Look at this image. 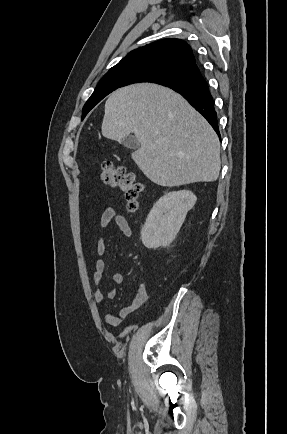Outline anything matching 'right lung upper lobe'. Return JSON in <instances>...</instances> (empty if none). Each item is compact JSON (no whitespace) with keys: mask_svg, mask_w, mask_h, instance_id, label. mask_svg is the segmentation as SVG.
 <instances>
[{"mask_svg":"<svg viewBox=\"0 0 287 434\" xmlns=\"http://www.w3.org/2000/svg\"><path fill=\"white\" fill-rule=\"evenodd\" d=\"M197 67L191 47L180 39H162L131 51L105 75L134 72L143 69H158L180 76ZM177 81L160 83L167 86Z\"/></svg>","mask_w":287,"mask_h":434,"instance_id":"cb5924a9","label":"right lung upper lobe"}]
</instances>
